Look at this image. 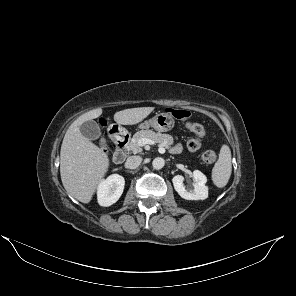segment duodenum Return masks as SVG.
I'll list each match as a JSON object with an SVG mask.
<instances>
[{"label": "duodenum", "mask_w": 296, "mask_h": 296, "mask_svg": "<svg viewBox=\"0 0 296 296\" xmlns=\"http://www.w3.org/2000/svg\"><path fill=\"white\" fill-rule=\"evenodd\" d=\"M109 133L117 146V149L113 153L112 160L115 164H122L127 156L128 136L124 131L115 127H111Z\"/></svg>", "instance_id": "duodenum-1"}]
</instances>
